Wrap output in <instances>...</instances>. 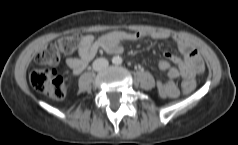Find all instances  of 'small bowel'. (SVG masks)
<instances>
[{"label":"small bowel","mask_w":238,"mask_h":145,"mask_svg":"<svg viewBox=\"0 0 238 145\" xmlns=\"http://www.w3.org/2000/svg\"><path fill=\"white\" fill-rule=\"evenodd\" d=\"M169 37L176 42L179 50L184 55V59L178 58L171 52L165 53L166 58L175 63L176 66H171L166 59L159 61L158 67L160 70L167 72V80L157 81V89L161 97L175 98L179 94L175 80L182 77L183 83L194 88L195 77L204 70V63L197 49L193 47L188 39L165 31L114 30L101 35L97 39L91 34L79 35L78 56L68 58L66 64L73 73L79 74L100 51L109 54L122 53L124 51V41L161 40Z\"/></svg>","instance_id":"1"}]
</instances>
